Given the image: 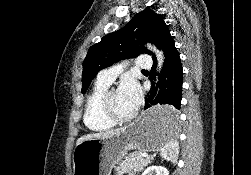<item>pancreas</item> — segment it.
<instances>
[{"mask_svg":"<svg viewBox=\"0 0 251 175\" xmlns=\"http://www.w3.org/2000/svg\"><path fill=\"white\" fill-rule=\"evenodd\" d=\"M149 159L150 157L141 155V151H132L119 161L117 167H115V173L116 175H123V173L138 175L139 171H142L143 167L150 163Z\"/></svg>","mask_w":251,"mask_h":175,"instance_id":"pancreas-1","label":"pancreas"}]
</instances>
